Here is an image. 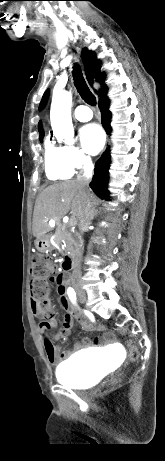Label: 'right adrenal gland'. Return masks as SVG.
I'll list each match as a JSON object with an SVG mask.
<instances>
[{
    "label": "right adrenal gland",
    "mask_w": 165,
    "mask_h": 461,
    "mask_svg": "<svg viewBox=\"0 0 165 461\" xmlns=\"http://www.w3.org/2000/svg\"><path fill=\"white\" fill-rule=\"evenodd\" d=\"M97 215H98V212L96 211V212H95V217H96Z\"/></svg>",
    "instance_id": "1"
}]
</instances>
